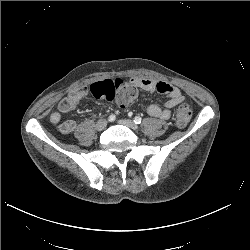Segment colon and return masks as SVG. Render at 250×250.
I'll use <instances>...</instances> for the list:
<instances>
[{"mask_svg":"<svg viewBox=\"0 0 250 250\" xmlns=\"http://www.w3.org/2000/svg\"><path fill=\"white\" fill-rule=\"evenodd\" d=\"M89 91L96 99L117 100L122 108L131 104L136 95L132 88L121 87L117 81L110 79L93 83ZM192 114L193 111L188 104H180L174 113L176 126L179 128L185 127L190 122Z\"/></svg>","mask_w":250,"mask_h":250,"instance_id":"obj_1","label":"colon"}]
</instances>
